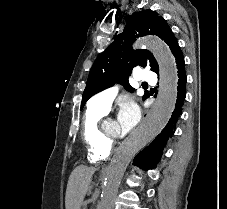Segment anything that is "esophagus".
Wrapping results in <instances>:
<instances>
[{
	"label": "esophagus",
	"instance_id": "obj_1",
	"mask_svg": "<svg viewBox=\"0 0 227 209\" xmlns=\"http://www.w3.org/2000/svg\"><path fill=\"white\" fill-rule=\"evenodd\" d=\"M152 113H153V108H146V112H144L143 120H140V121H150ZM97 176L98 177H105L106 176V170H103V172H98Z\"/></svg>",
	"mask_w": 227,
	"mask_h": 209
}]
</instances>
